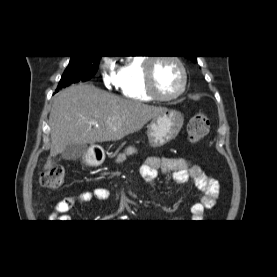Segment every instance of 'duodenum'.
Here are the masks:
<instances>
[{"label": "duodenum", "mask_w": 277, "mask_h": 277, "mask_svg": "<svg viewBox=\"0 0 277 277\" xmlns=\"http://www.w3.org/2000/svg\"><path fill=\"white\" fill-rule=\"evenodd\" d=\"M105 157V153L101 150H92L88 157V164L90 166H95L98 165L103 161Z\"/></svg>", "instance_id": "1"}]
</instances>
